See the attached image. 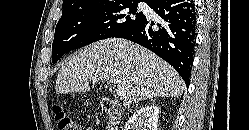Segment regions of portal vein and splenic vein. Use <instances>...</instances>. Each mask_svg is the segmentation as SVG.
<instances>
[{"label":"portal vein and splenic vein","instance_id":"portal-vein-and-splenic-vein-1","mask_svg":"<svg viewBox=\"0 0 249 130\" xmlns=\"http://www.w3.org/2000/svg\"><path fill=\"white\" fill-rule=\"evenodd\" d=\"M98 81H99L98 79H93V82H98ZM125 92H126L125 88L119 87L116 91V94L117 96L123 97L125 95Z\"/></svg>","mask_w":249,"mask_h":130}]
</instances>
